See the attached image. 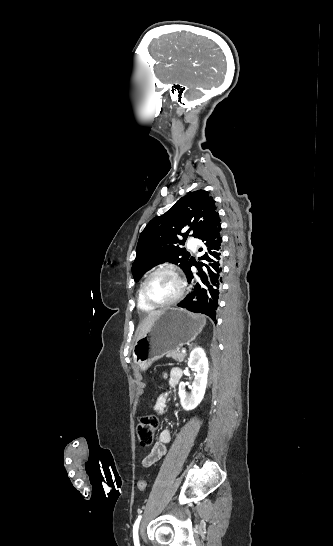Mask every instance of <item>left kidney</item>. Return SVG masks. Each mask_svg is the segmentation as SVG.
I'll return each instance as SVG.
<instances>
[{"instance_id":"left-kidney-1","label":"left kidney","mask_w":333,"mask_h":546,"mask_svg":"<svg viewBox=\"0 0 333 546\" xmlns=\"http://www.w3.org/2000/svg\"><path fill=\"white\" fill-rule=\"evenodd\" d=\"M188 366L196 370L197 374L194 378L190 393L185 391V383L179 384L181 405L187 411L196 408L205 394L209 364L203 348L197 347L191 352L188 359Z\"/></svg>"}]
</instances>
